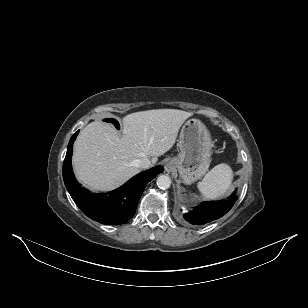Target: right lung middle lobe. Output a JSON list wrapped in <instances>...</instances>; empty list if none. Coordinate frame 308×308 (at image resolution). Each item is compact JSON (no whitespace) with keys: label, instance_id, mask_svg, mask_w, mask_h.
I'll return each mask as SVG.
<instances>
[{"label":"right lung middle lobe","instance_id":"right-lung-middle-lobe-1","mask_svg":"<svg viewBox=\"0 0 308 308\" xmlns=\"http://www.w3.org/2000/svg\"><path fill=\"white\" fill-rule=\"evenodd\" d=\"M104 121L112 123L117 129H119V123L115 119L107 118Z\"/></svg>","mask_w":308,"mask_h":308}]
</instances>
